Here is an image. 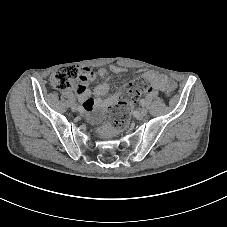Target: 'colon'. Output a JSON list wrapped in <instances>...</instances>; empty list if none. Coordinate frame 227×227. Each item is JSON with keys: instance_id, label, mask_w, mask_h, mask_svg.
<instances>
[{"instance_id": "obj_1", "label": "colon", "mask_w": 227, "mask_h": 227, "mask_svg": "<svg viewBox=\"0 0 227 227\" xmlns=\"http://www.w3.org/2000/svg\"><path fill=\"white\" fill-rule=\"evenodd\" d=\"M80 80V73L76 67L64 66L56 70L50 83L59 90L75 87ZM149 91V82L145 77L126 84L118 98V105L109 116L108 122L99 129V134L108 136L113 130L124 128L129 120L131 108L142 92Z\"/></svg>"}]
</instances>
